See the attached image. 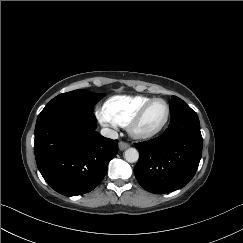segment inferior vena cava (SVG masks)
<instances>
[{"mask_svg": "<svg viewBox=\"0 0 243 243\" xmlns=\"http://www.w3.org/2000/svg\"><path fill=\"white\" fill-rule=\"evenodd\" d=\"M100 133L102 136L107 138H111V139L118 138V133L115 130H112L110 128H102Z\"/></svg>", "mask_w": 243, "mask_h": 243, "instance_id": "1", "label": "inferior vena cava"}]
</instances>
